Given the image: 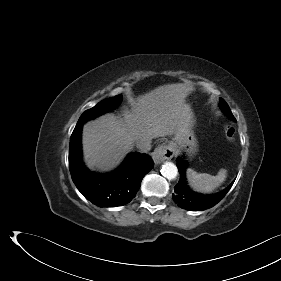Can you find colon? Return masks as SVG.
I'll list each match as a JSON object with an SVG mask.
<instances>
[{
	"instance_id": "colon-1",
	"label": "colon",
	"mask_w": 281,
	"mask_h": 281,
	"mask_svg": "<svg viewBox=\"0 0 281 281\" xmlns=\"http://www.w3.org/2000/svg\"><path fill=\"white\" fill-rule=\"evenodd\" d=\"M225 134H226V138L229 141L233 140V138H234V130L231 127H229V126L225 127Z\"/></svg>"
}]
</instances>
